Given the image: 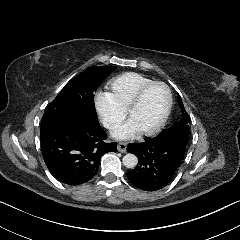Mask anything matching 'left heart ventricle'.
<instances>
[{
    "label": "left heart ventricle",
    "mask_w": 240,
    "mask_h": 240,
    "mask_svg": "<svg viewBox=\"0 0 240 240\" xmlns=\"http://www.w3.org/2000/svg\"><path fill=\"white\" fill-rule=\"evenodd\" d=\"M166 101V93L161 86H153L145 93L139 107L130 115L141 131L154 127L160 120Z\"/></svg>",
    "instance_id": "b2bd125f"
}]
</instances>
